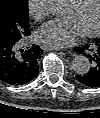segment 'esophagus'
Here are the masks:
<instances>
[{
  "mask_svg": "<svg viewBox=\"0 0 100 118\" xmlns=\"http://www.w3.org/2000/svg\"><path fill=\"white\" fill-rule=\"evenodd\" d=\"M41 48H42L44 51L58 50V48H55V47H52V46H49V45H46V44H42V45H41ZM69 53H71V50H69Z\"/></svg>",
  "mask_w": 100,
  "mask_h": 118,
  "instance_id": "34e87169",
  "label": "esophagus"
}]
</instances>
